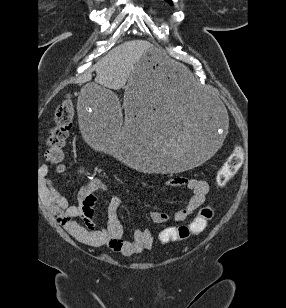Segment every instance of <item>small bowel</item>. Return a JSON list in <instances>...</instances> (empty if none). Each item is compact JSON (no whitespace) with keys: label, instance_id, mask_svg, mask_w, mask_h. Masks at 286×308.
Instances as JSON below:
<instances>
[{"label":"small bowel","instance_id":"c3829d8e","mask_svg":"<svg viewBox=\"0 0 286 308\" xmlns=\"http://www.w3.org/2000/svg\"><path fill=\"white\" fill-rule=\"evenodd\" d=\"M46 182L52 216L78 240L92 246H106L125 256L153 248V235L147 228L135 229L132 240L123 238L124 229L118 215V210L122 205L119 197L114 196L109 200L107 226L99 230L93 228L96 217L95 208L100 196L105 192V185L100 179L94 177L84 184L76 205H71L68 199L53 186L49 178ZM168 185L171 187L186 186L192 194L187 204L172 216L162 211L151 212V220L155 224L164 223L170 218L176 222H183L203 205L209 191V185L205 180L183 176L170 179ZM76 218H81L84 224L79 223Z\"/></svg>","mask_w":286,"mask_h":308}]
</instances>
